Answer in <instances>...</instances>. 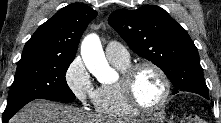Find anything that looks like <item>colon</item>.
I'll return each mask as SVG.
<instances>
[{
	"mask_svg": "<svg viewBox=\"0 0 221 123\" xmlns=\"http://www.w3.org/2000/svg\"><path fill=\"white\" fill-rule=\"evenodd\" d=\"M182 123H205V120L195 113H185L181 120Z\"/></svg>",
	"mask_w": 221,
	"mask_h": 123,
	"instance_id": "colon-1",
	"label": "colon"
}]
</instances>
